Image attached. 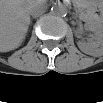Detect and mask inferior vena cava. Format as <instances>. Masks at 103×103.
<instances>
[{
    "instance_id": "602c4592",
    "label": "inferior vena cava",
    "mask_w": 103,
    "mask_h": 103,
    "mask_svg": "<svg viewBox=\"0 0 103 103\" xmlns=\"http://www.w3.org/2000/svg\"><path fill=\"white\" fill-rule=\"evenodd\" d=\"M47 9L46 4L43 1H36L31 5L30 14L33 17L42 15Z\"/></svg>"
}]
</instances>
